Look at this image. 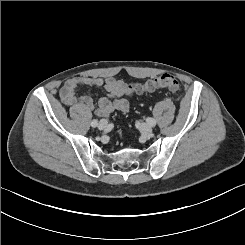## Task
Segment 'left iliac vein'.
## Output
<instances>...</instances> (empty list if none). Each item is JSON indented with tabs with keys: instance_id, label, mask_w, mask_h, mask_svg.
Wrapping results in <instances>:
<instances>
[{
	"instance_id": "1",
	"label": "left iliac vein",
	"mask_w": 245,
	"mask_h": 245,
	"mask_svg": "<svg viewBox=\"0 0 245 245\" xmlns=\"http://www.w3.org/2000/svg\"><path fill=\"white\" fill-rule=\"evenodd\" d=\"M140 131L144 134H150L152 132V127L148 124H142L140 126Z\"/></svg>"
}]
</instances>
